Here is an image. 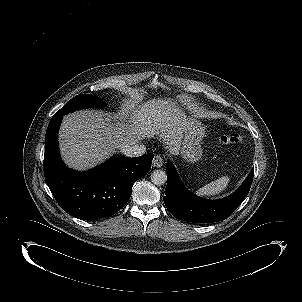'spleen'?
I'll use <instances>...</instances> for the list:
<instances>
[{
    "label": "spleen",
    "mask_w": 302,
    "mask_h": 302,
    "mask_svg": "<svg viewBox=\"0 0 302 302\" xmlns=\"http://www.w3.org/2000/svg\"><path fill=\"white\" fill-rule=\"evenodd\" d=\"M230 178L228 176H222L219 179L206 184L202 188L196 191L198 196H214L224 191L228 186Z\"/></svg>",
    "instance_id": "3e777b00"
}]
</instances>
